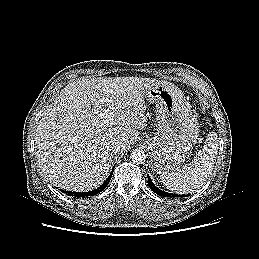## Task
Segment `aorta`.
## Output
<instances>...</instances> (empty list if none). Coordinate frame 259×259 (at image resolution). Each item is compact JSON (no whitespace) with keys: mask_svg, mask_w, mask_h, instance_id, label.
Listing matches in <instances>:
<instances>
[{"mask_svg":"<svg viewBox=\"0 0 259 259\" xmlns=\"http://www.w3.org/2000/svg\"><path fill=\"white\" fill-rule=\"evenodd\" d=\"M130 159L135 164H143L146 160V155L143 150L135 149L130 153Z\"/></svg>","mask_w":259,"mask_h":259,"instance_id":"obj_1","label":"aorta"}]
</instances>
